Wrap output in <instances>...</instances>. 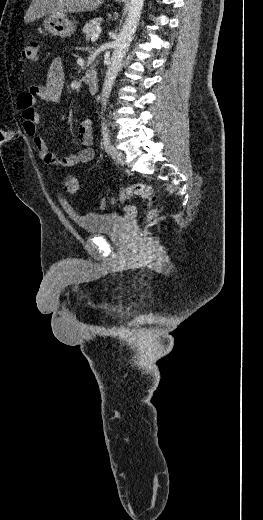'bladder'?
<instances>
[{"label":"bladder","mask_w":263,"mask_h":520,"mask_svg":"<svg viewBox=\"0 0 263 520\" xmlns=\"http://www.w3.org/2000/svg\"><path fill=\"white\" fill-rule=\"evenodd\" d=\"M76 225L86 234L115 233L126 226V218L119 213H86L74 215Z\"/></svg>","instance_id":"1"}]
</instances>
